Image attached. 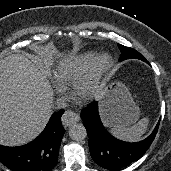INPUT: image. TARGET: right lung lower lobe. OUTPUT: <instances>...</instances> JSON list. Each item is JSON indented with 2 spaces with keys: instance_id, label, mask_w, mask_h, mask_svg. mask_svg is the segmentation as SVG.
I'll list each match as a JSON object with an SVG mask.
<instances>
[{
  "instance_id": "right-lung-lower-lobe-1",
  "label": "right lung lower lobe",
  "mask_w": 171,
  "mask_h": 171,
  "mask_svg": "<svg viewBox=\"0 0 171 171\" xmlns=\"http://www.w3.org/2000/svg\"><path fill=\"white\" fill-rule=\"evenodd\" d=\"M63 112L54 113L44 131L32 142L19 147L0 145V162L14 171H52L65 133L60 120Z\"/></svg>"
}]
</instances>
